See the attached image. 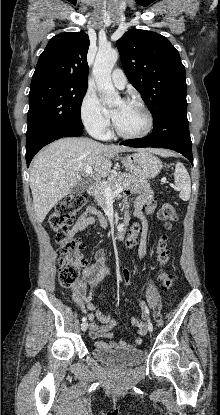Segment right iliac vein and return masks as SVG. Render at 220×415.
Segmentation results:
<instances>
[{"instance_id": "right-iliac-vein-1", "label": "right iliac vein", "mask_w": 220, "mask_h": 415, "mask_svg": "<svg viewBox=\"0 0 220 415\" xmlns=\"http://www.w3.org/2000/svg\"><path fill=\"white\" fill-rule=\"evenodd\" d=\"M88 329V323L87 322H83L82 324H81V330L82 331H86Z\"/></svg>"}]
</instances>
